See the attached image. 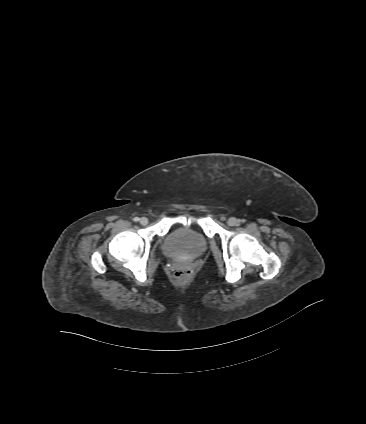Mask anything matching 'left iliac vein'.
I'll use <instances>...</instances> for the list:
<instances>
[{"label": "left iliac vein", "mask_w": 366, "mask_h": 424, "mask_svg": "<svg viewBox=\"0 0 366 424\" xmlns=\"http://www.w3.org/2000/svg\"><path fill=\"white\" fill-rule=\"evenodd\" d=\"M227 223H228L229 226H236L238 224V221H237L236 218L231 217V218L228 219Z\"/></svg>", "instance_id": "left-iliac-vein-1"}]
</instances>
